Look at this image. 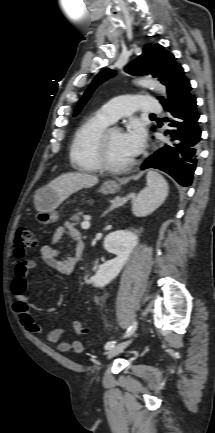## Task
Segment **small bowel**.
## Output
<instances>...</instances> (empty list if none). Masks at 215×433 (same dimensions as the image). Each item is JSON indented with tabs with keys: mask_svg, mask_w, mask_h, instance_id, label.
Segmentation results:
<instances>
[{
	"mask_svg": "<svg viewBox=\"0 0 215 433\" xmlns=\"http://www.w3.org/2000/svg\"><path fill=\"white\" fill-rule=\"evenodd\" d=\"M65 237H69L75 243L74 255L60 259L59 245ZM41 258L55 271L61 275H69L73 272L76 264L80 260L83 253V241L79 230L71 223L56 229L53 235L52 245H43L40 247ZM36 266L33 259H24L18 262L14 268V278L11 282V293L15 298L14 311L17 314L21 324L31 333L45 335L51 343L57 344V350L60 352H68L73 349L75 352L83 350V344L80 341H62L64 331L62 329H54L45 332L43 327L38 324L32 314V310L36 307L31 304L25 297L29 272Z\"/></svg>",
	"mask_w": 215,
	"mask_h": 433,
	"instance_id": "obj_1",
	"label": "small bowel"
}]
</instances>
